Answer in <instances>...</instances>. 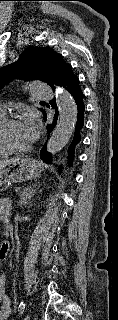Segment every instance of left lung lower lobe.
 <instances>
[{
    "label": "left lung lower lobe",
    "mask_w": 118,
    "mask_h": 320,
    "mask_svg": "<svg viewBox=\"0 0 118 320\" xmlns=\"http://www.w3.org/2000/svg\"><path fill=\"white\" fill-rule=\"evenodd\" d=\"M59 86L63 87L65 90H67L71 94L77 106V121L75 125L74 138L69 147L70 158H73L74 148L81 140L80 133H81V129L84 126V110H85V106L83 102L84 94L79 84V78L73 73L72 69L68 72L66 77L61 81ZM51 105L53 108L56 109L55 100L52 101ZM57 115H58V112H56V115L54 116L53 123L50 125H47L48 134H50L54 129V127L56 126ZM40 158L46 163L51 162V154L46 152V145H44V147L40 150ZM70 162L71 161L69 160V165H70Z\"/></svg>",
    "instance_id": "0a47b994"
}]
</instances>
